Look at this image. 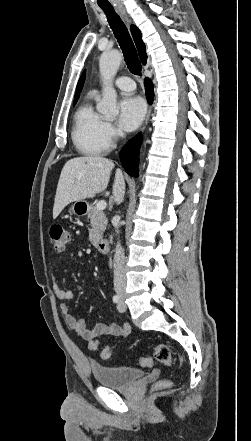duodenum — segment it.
<instances>
[{
    "mask_svg": "<svg viewBox=\"0 0 251 441\" xmlns=\"http://www.w3.org/2000/svg\"><path fill=\"white\" fill-rule=\"evenodd\" d=\"M97 248L101 253H108L110 249V245L108 240L101 239L97 242Z\"/></svg>",
    "mask_w": 251,
    "mask_h": 441,
    "instance_id": "duodenum-1",
    "label": "duodenum"
}]
</instances>
